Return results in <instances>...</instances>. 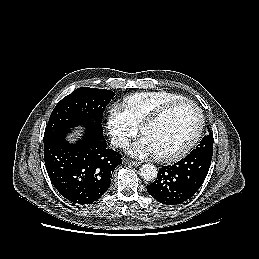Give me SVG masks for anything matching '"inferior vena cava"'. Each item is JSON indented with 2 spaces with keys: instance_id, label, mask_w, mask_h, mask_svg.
Here are the masks:
<instances>
[{
  "instance_id": "inferior-vena-cava-1",
  "label": "inferior vena cava",
  "mask_w": 259,
  "mask_h": 259,
  "mask_svg": "<svg viewBox=\"0 0 259 259\" xmlns=\"http://www.w3.org/2000/svg\"><path fill=\"white\" fill-rule=\"evenodd\" d=\"M126 144H127L126 141H121V142L118 143L119 146H120V145H126Z\"/></svg>"
}]
</instances>
